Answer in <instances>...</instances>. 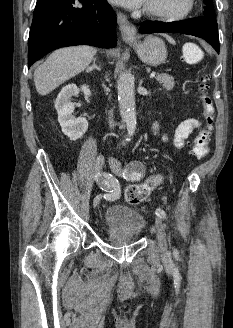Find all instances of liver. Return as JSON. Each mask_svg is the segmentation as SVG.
<instances>
[{"label":"liver","instance_id":"6515ba94","mask_svg":"<svg viewBox=\"0 0 233 328\" xmlns=\"http://www.w3.org/2000/svg\"><path fill=\"white\" fill-rule=\"evenodd\" d=\"M97 49L91 46L66 47L54 51L34 72V84L40 95H47L59 85L84 71Z\"/></svg>","mask_w":233,"mask_h":328}]
</instances>
